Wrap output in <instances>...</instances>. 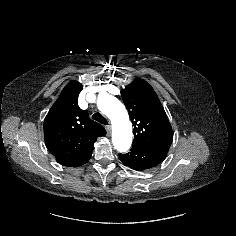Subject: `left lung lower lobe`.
<instances>
[{"label":"left lung lower lobe","instance_id":"obj_1","mask_svg":"<svg viewBox=\"0 0 236 236\" xmlns=\"http://www.w3.org/2000/svg\"><path fill=\"white\" fill-rule=\"evenodd\" d=\"M169 148L165 147H137L127 154H119L120 160L136 171L151 169L160 164L167 156Z\"/></svg>","mask_w":236,"mask_h":236}]
</instances>
